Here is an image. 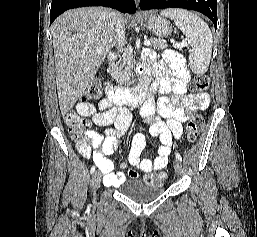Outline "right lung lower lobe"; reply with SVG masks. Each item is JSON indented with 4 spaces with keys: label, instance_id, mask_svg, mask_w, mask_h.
Instances as JSON below:
<instances>
[{
    "label": "right lung lower lobe",
    "instance_id": "98d812e1",
    "mask_svg": "<svg viewBox=\"0 0 257 237\" xmlns=\"http://www.w3.org/2000/svg\"><path fill=\"white\" fill-rule=\"evenodd\" d=\"M85 6H105L117 9L123 13L136 12L134 0H52L50 10V25L64 11Z\"/></svg>",
    "mask_w": 257,
    "mask_h": 237
}]
</instances>
